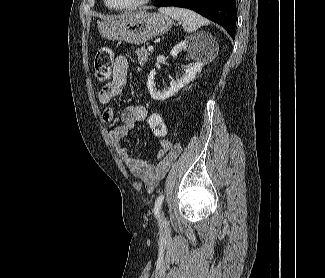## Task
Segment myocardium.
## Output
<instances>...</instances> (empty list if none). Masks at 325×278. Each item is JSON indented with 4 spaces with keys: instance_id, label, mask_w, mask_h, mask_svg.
<instances>
[{
    "instance_id": "f54148a6",
    "label": "myocardium",
    "mask_w": 325,
    "mask_h": 278,
    "mask_svg": "<svg viewBox=\"0 0 325 278\" xmlns=\"http://www.w3.org/2000/svg\"><path fill=\"white\" fill-rule=\"evenodd\" d=\"M104 1L110 9L117 10V11H126V10H133V9L139 8V7L149 3L152 0H138L134 3L124 5V6H114V5L110 4L109 0H104Z\"/></svg>"
}]
</instances>
